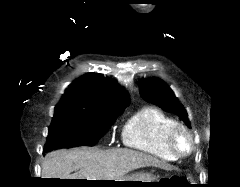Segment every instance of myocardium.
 <instances>
[{"instance_id": "1", "label": "myocardium", "mask_w": 240, "mask_h": 187, "mask_svg": "<svg viewBox=\"0 0 240 187\" xmlns=\"http://www.w3.org/2000/svg\"><path fill=\"white\" fill-rule=\"evenodd\" d=\"M168 145L178 157H185L194 150L191 133L183 126L177 125L168 134Z\"/></svg>"}]
</instances>
